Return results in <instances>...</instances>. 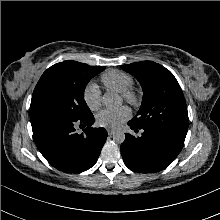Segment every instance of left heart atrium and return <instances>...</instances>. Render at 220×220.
<instances>
[{"instance_id":"obj_1","label":"left heart atrium","mask_w":220,"mask_h":220,"mask_svg":"<svg viewBox=\"0 0 220 220\" xmlns=\"http://www.w3.org/2000/svg\"><path fill=\"white\" fill-rule=\"evenodd\" d=\"M130 117V111L127 107L121 106L114 109H103L96 115L98 126L106 128H117Z\"/></svg>"}]
</instances>
